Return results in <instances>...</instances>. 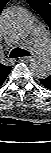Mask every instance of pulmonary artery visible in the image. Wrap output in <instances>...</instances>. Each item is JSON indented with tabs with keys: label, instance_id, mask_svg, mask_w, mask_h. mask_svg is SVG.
Segmentation results:
<instances>
[{
	"label": "pulmonary artery",
	"instance_id": "obj_1",
	"mask_svg": "<svg viewBox=\"0 0 51 153\" xmlns=\"http://www.w3.org/2000/svg\"><path fill=\"white\" fill-rule=\"evenodd\" d=\"M32 36L36 50L42 55H47L51 50V42L44 30L37 28L33 31Z\"/></svg>",
	"mask_w": 51,
	"mask_h": 153
}]
</instances>
